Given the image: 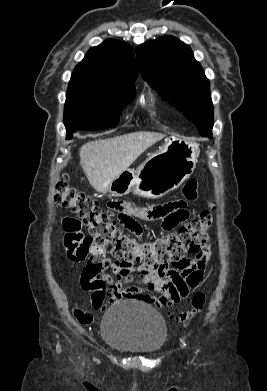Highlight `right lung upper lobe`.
I'll return each instance as SVG.
<instances>
[{"label":"right lung upper lobe","mask_w":267,"mask_h":391,"mask_svg":"<svg viewBox=\"0 0 267 391\" xmlns=\"http://www.w3.org/2000/svg\"><path fill=\"white\" fill-rule=\"evenodd\" d=\"M137 71L132 48L107 40L88 51L75 67L70 82H90L107 90L133 92Z\"/></svg>","instance_id":"right-lung-upper-lobe-1"}]
</instances>
